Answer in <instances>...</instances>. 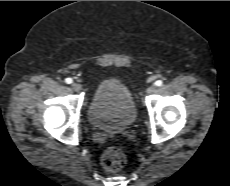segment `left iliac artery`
Instances as JSON below:
<instances>
[{
    "instance_id": "obj_1",
    "label": "left iliac artery",
    "mask_w": 230,
    "mask_h": 186,
    "mask_svg": "<svg viewBox=\"0 0 230 186\" xmlns=\"http://www.w3.org/2000/svg\"><path fill=\"white\" fill-rule=\"evenodd\" d=\"M154 84L156 86H161L163 84V81L162 80H157Z\"/></svg>"
}]
</instances>
